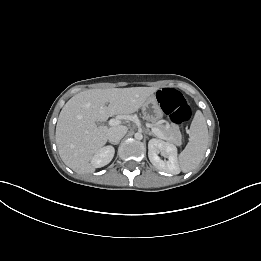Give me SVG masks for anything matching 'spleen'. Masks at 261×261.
<instances>
[{
    "label": "spleen",
    "instance_id": "obj_1",
    "mask_svg": "<svg viewBox=\"0 0 261 261\" xmlns=\"http://www.w3.org/2000/svg\"><path fill=\"white\" fill-rule=\"evenodd\" d=\"M189 142L179 155V166L183 172L195 169L201 162L208 145V129L205 118L197 112L191 123Z\"/></svg>",
    "mask_w": 261,
    "mask_h": 261
}]
</instances>
